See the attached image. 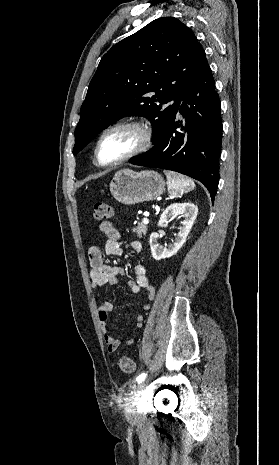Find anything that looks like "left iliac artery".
Here are the masks:
<instances>
[{
    "mask_svg": "<svg viewBox=\"0 0 279 465\" xmlns=\"http://www.w3.org/2000/svg\"><path fill=\"white\" fill-rule=\"evenodd\" d=\"M145 378H146V373H142L136 378V382L141 383Z\"/></svg>",
    "mask_w": 279,
    "mask_h": 465,
    "instance_id": "left-iliac-artery-1",
    "label": "left iliac artery"
}]
</instances>
